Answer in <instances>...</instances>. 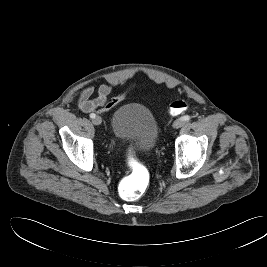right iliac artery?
Segmentation results:
<instances>
[{"mask_svg": "<svg viewBox=\"0 0 267 267\" xmlns=\"http://www.w3.org/2000/svg\"><path fill=\"white\" fill-rule=\"evenodd\" d=\"M89 116H90V118L93 119V118H95L96 115L94 113H91Z\"/></svg>", "mask_w": 267, "mask_h": 267, "instance_id": "82829eb1", "label": "right iliac artery"}]
</instances>
